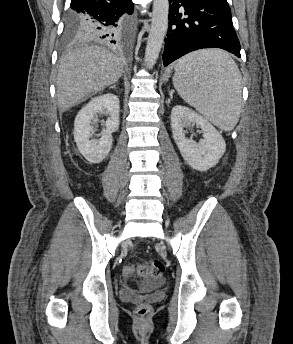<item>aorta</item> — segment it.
Listing matches in <instances>:
<instances>
[{"label": "aorta", "mask_w": 293, "mask_h": 344, "mask_svg": "<svg viewBox=\"0 0 293 344\" xmlns=\"http://www.w3.org/2000/svg\"><path fill=\"white\" fill-rule=\"evenodd\" d=\"M169 0H153L151 29L145 49V64L151 69L155 65L168 29Z\"/></svg>", "instance_id": "1"}]
</instances>
